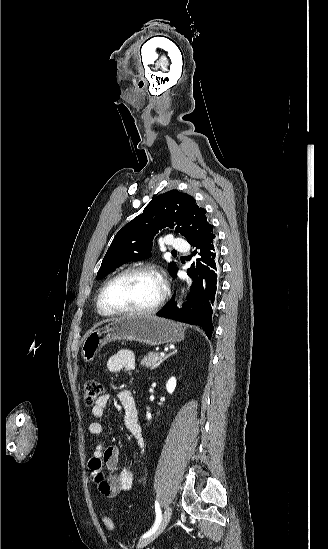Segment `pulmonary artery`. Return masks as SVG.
Listing matches in <instances>:
<instances>
[{
  "label": "pulmonary artery",
  "mask_w": 328,
  "mask_h": 549,
  "mask_svg": "<svg viewBox=\"0 0 328 549\" xmlns=\"http://www.w3.org/2000/svg\"><path fill=\"white\" fill-rule=\"evenodd\" d=\"M166 248L170 252H183L185 245L183 241H169Z\"/></svg>",
  "instance_id": "1"
}]
</instances>
